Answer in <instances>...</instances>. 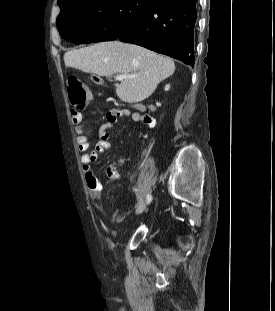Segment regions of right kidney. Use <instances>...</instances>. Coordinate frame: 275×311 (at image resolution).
<instances>
[{
	"instance_id": "1",
	"label": "right kidney",
	"mask_w": 275,
	"mask_h": 311,
	"mask_svg": "<svg viewBox=\"0 0 275 311\" xmlns=\"http://www.w3.org/2000/svg\"><path fill=\"white\" fill-rule=\"evenodd\" d=\"M169 89H170V85L168 84L165 86V91H168Z\"/></svg>"
}]
</instances>
